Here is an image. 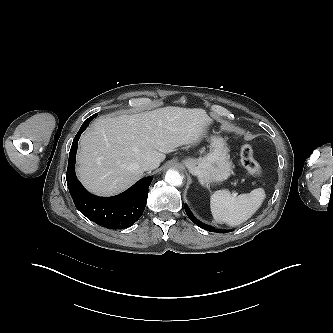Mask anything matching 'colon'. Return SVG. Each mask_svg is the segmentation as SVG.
<instances>
[{
  "label": "colon",
  "mask_w": 333,
  "mask_h": 333,
  "mask_svg": "<svg viewBox=\"0 0 333 333\" xmlns=\"http://www.w3.org/2000/svg\"><path fill=\"white\" fill-rule=\"evenodd\" d=\"M240 162L249 174L253 176H260L262 174V168L255 159L253 149L249 144H244L241 147Z\"/></svg>",
  "instance_id": "colon-1"
}]
</instances>
